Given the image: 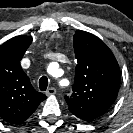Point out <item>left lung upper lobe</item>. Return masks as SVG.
<instances>
[{
  "instance_id": "left-lung-upper-lobe-1",
  "label": "left lung upper lobe",
  "mask_w": 133,
  "mask_h": 133,
  "mask_svg": "<svg viewBox=\"0 0 133 133\" xmlns=\"http://www.w3.org/2000/svg\"><path fill=\"white\" fill-rule=\"evenodd\" d=\"M77 65L69 110L84 121L103 115L115 101L120 85L119 65L108 46L95 35L78 30L73 38Z\"/></svg>"
}]
</instances>
